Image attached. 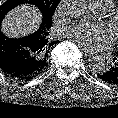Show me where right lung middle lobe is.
Instances as JSON below:
<instances>
[{
	"label": "right lung middle lobe",
	"mask_w": 118,
	"mask_h": 118,
	"mask_svg": "<svg viewBox=\"0 0 118 118\" xmlns=\"http://www.w3.org/2000/svg\"><path fill=\"white\" fill-rule=\"evenodd\" d=\"M60 0H7L0 6V23L4 16L20 4H32L38 7L43 16V22L52 21L53 13Z\"/></svg>",
	"instance_id": "right-lung-middle-lobe-1"
}]
</instances>
